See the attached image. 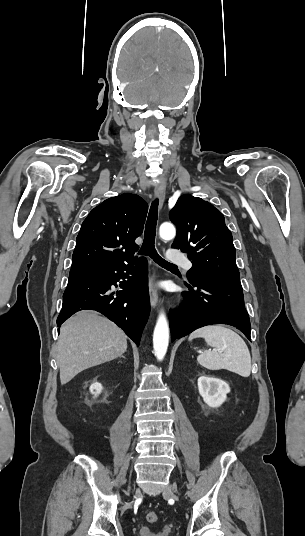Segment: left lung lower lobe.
<instances>
[{
  "instance_id": "obj_1",
  "label": "left lung lower lobe",
  "mask_w": 305,
  "mask_h": 536,
  "mask_svg": "<svg viewBox=\"0 0 305 536\" xmlns=\"http://www.w3.org/2000/svg\"><path fill=\"white\" fill-rule=\"evenodd\" d=\"M190 293L185 292L187 302L169 314L172 341L192 331L211 324H228L237 327L250 338V319L244 306L240 282L233 281H190ZM192 291L195 293L193 294Z\"/></svg>"
}]
</instances>
